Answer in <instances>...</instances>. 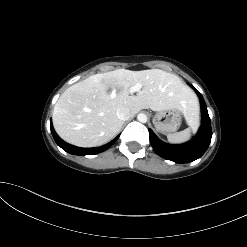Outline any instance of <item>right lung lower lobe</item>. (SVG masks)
Returning a JSON list of instances; mask_svg holds the SVG:
<instances>
[{"mask_svg": "<svg viewBox=\"0 0 247 247\" xmlns=\"http://www.w3.org/2000/svg\"><path fill=\"white\" fill-rule=\"evenodd\" d=\"M50 128H51V133L53 135V138L55 140V142L57 143L58 146H60L63 150H65L66 152L70 153V154H74V155H94V154H98L100 152H103L105 150H107L112 144L115 143V141L117 140V138L119 137V135L117 137H115L111 142L107 143L106 145H103L101 147H95V148H81V147H76L73 145H70L66 142H64L55 132L53 125H52V121L50 120Z\"/></svg>", "mask_w": 247, "mask_h": 247, "instance_id": "obj_1", "label": "right lung lower lobe"}]
</instances>
